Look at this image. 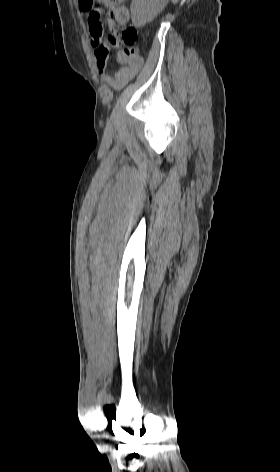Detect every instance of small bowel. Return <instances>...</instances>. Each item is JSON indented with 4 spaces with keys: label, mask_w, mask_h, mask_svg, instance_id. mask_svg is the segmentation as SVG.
<instances>
[{
    "label": "small bowel",
    "mask_w": 280,
    "mask_h": 472,
    "mask_svg": "<svg viewBox=\"0 0 280 472\" xmlns=\"http://www.w3.org/2000/svg\"><path fill=\"white\" fill-rule=\"evenodd\" d=\"M82 0H79V6L82 11H88L83 7ZM108 9L109 12L106 17V25L110 34L104 36V28L101 21L97 24L89 23V33L91 45L94 48V55L96 64L99 70H103L106 66L109 51L111 48L116 50V60L119 64L113 77H104V84L114 91L122 89L130 80H132L140 68L143 60L140 56L135 55L129 57L125 55L124 51L120 50V28L125 27L130 19L129 9L122 5L123 0H99Z\"/></svg>",
    "instance_id": "1"
}]
</instances>
